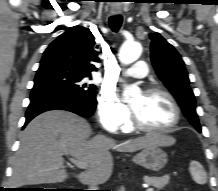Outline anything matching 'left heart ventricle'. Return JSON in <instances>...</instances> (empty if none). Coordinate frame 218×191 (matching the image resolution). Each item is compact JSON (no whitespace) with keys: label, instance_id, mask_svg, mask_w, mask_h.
<instances>
[{"label":"left heart ventricle","instance_id":"1","mask_svg":"<svg viewBox=\"0 0 218 191\" xmlns=\"http://www.w3.org/2000/svg\"><path fill=\"white\" fill-rule=\"evenodd\" d=\"M138 120L150 128H164L174 120V110L163 95H138L131 103Z\"/></svg>","mask_w":218,"mask_h":191}]
</instances>
